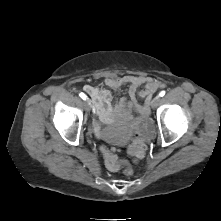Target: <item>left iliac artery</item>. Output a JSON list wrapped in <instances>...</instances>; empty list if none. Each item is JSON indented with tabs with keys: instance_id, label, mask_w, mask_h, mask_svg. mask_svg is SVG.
I'll list each match as a JSON object with an SVG mask.
<instances>
[{
	"instance_id": "1",
	"label": "left iliac artery",
	"mask_w": 221,
	"mask_h": 221,
	"mask_svg": "<svg viewBox=\"0 0 221 221\" xmlns=\"http://www.w3.org/2000/svg\"><path fill=\"white\" fill-rule=\"evenodd\" d=\"M165 95V91H161L160 93H159V96L160 97H163Z\"/></svg>"
}]
</instances>
